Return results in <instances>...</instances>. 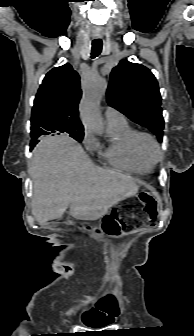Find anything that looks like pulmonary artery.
<instances>
[{"instance_id": "obj_1", "label": "pulmonary artery", "mask_w": 194, "mask_h": 336, "mask_svg": "<svg viewBox=\"0 0 194 336\" xmlns=\"http://www.w3.org/2000/svg\"><path fill=\"white\" fill-rule=\"evenodd\" d=\"M104 116L107 124L110 125H116L121 124L126 121L125 117L116 109L106 106L104 109Z\"/></svg>"}]
</instances>
